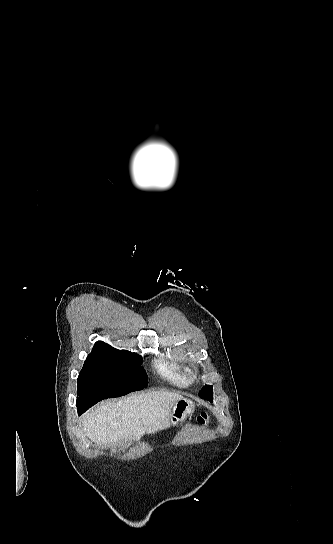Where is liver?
<instances>
[{
	"label": "liver",
	"mask_w": 333,
	"mask_h": 544,
	"mask_svg": "<svg viewBox=\"0 0 333 544\" xmlns=\"http://www.w3.org/2000/svg\"><path fill=\"white\" fill-rule=\"evenodd\" d=\"M183 399L168 391H151L109 402L82 416L86 435L98 445L139 440L170 426L171 410Z\"/></svg>",
	"instance_id": "liver-1"
}]
</instances>
